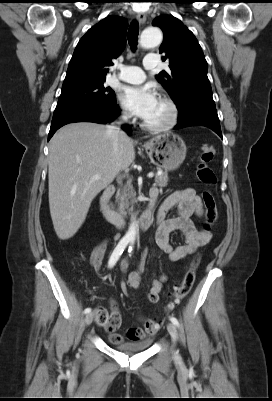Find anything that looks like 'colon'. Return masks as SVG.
<instances>
[{
  "mask_svg": "<svg viewBox=\"0 0 272 401\" xmlns=\"http://www.w3.org/2000/svg\"><path fill=\"white\" fill-rule=\"evenodd\" d=\"M214 155L215 148L213 146H202L199 163L197 165V176L200 182L206 187V189L202 192V200L205 208V223L207 229H209V227L215 223L217 218L216 199L210 189L217 183V176L214 170L210 167V163L212 162ZM198 261L199 257L197 256L194 259L192 267L185 274L181 284L173 292L172 298L166 306L167 312L171 311L191 290L195 278V267ZM96 321L104 327L109 325L112 321L111 312L104 308L99 309L96 312ZM153 322L160 324L159 321Z\"/></svg>",
  "mask_w": 272,
  "mask_h": 401,
  "instance_id": "5ec220e1",
  "label": "colon"
}]
</instances>
